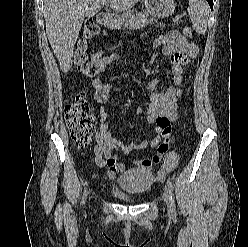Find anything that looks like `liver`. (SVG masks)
<instances>
[{
  "mask_svg": "<svg viewBox=\"0 0 248 247\" xmlns=\"http://www.w3.org/2000/svg\"><path fill=\"white\" fill-rule=\"evenodd\" d=\"M105 0H44L46 34L63 73L72 66L74 45L85 17L101 11ZM117 12H128L139 0H107Z\"/></svg>",
  "mask_w": 248,
  "mask_h": 247,
  "instance_id": "obj_1",
  "label": "liver"
}]
</instances>
